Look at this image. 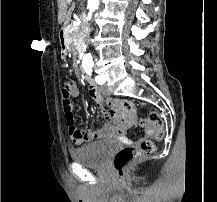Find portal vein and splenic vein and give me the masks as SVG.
Returning <instances> with one entry per match:
<instances>
[{
  "label": "portal vein and splenic vein",
  "mask_w": 217,
  "mask_h": 202,
  "mask_svg": "<svg viewBox=\"0 0 217 202\" xmlns=\"http://www.w3.org/2000/svg\"><path fill=\"white\" fill-rule=\"evenodd\" d=\"M74 26H80V24H77V22H75Z\"/></svg>",
  "instance_id": "18ae733b"
}]
</instances>
